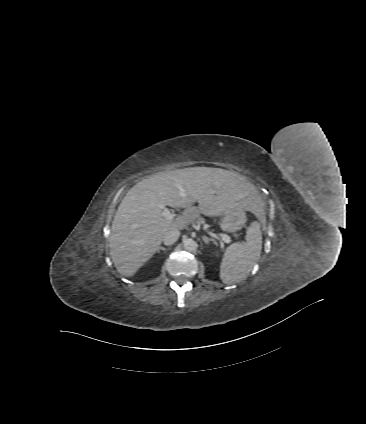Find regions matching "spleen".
I'll return each mask as SVG.
<instances>
[{"instance_id":"3e777b00","label":"spleen","mask_w":366,"mask_h":424,"mask_svg":"<svg viewBox=\"0 0 366 424\" xmlns=\"http://www.w3.org/2000/svg\"><path fill=\"white\" fill-rule=\"evenodd\" d=\"M262 219V215L257 216ZM260 223L254 221L246 231V242L228 246L222 257L219 277L225 284H234L247 278L262 250Z\"/></svg>"}]
</instances>
